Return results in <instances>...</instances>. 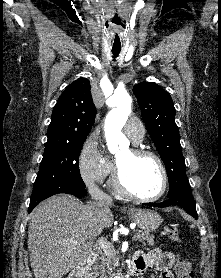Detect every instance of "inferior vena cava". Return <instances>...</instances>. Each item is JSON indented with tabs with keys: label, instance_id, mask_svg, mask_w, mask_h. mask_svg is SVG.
I'll use <instances>...</instances> for the list:
<instances>
[{
	"label": "inferior vena cava",
	"instance_id": "602c4592",
	"mask_svg": "<svg viewBox=\"0 0 221 278\" xmlns=\"http://www.w3.org/2000/svg\"><path fill=\"white\" fill-rule=\"evenodd\" d=\"M88 191L92 199H95L99 202H104L106 204L112 203V198L103 192L93 181L88 184ZM102 227H99L97 232L98 235L102 232Z\"/></svg>",
	"mask_w": 221,
	"mask_h": 278
}]
</instances>
